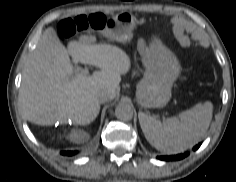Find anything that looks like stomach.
Wrapping results in <instances>:
<instances>
[{"instance_id":"0dacf381","label":"stomach","mask_w":236,"mask_h":182,"mask_svg":"<svg viewBox=\"0 0 236 182\" xmlns=\"http://www.w3.org/2000/svg\"><path fill=\"white\" fill-rule=\"evenodd\" d=\"M136 24V18L124 12L117 17V27L107 30L106 34L119 41H128ZM142 63L145 73L137 85V101L143 108L164 107L171 98V87L181 73L180 62L160 40H155L142 51Z\"/></svg>"}]
</instances>
